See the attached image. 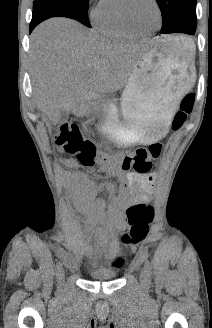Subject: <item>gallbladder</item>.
<instances>
[{
	"label": "gallbladder",
	"mask_w": 212,
	"mask_h": 328,
	"mask_svg": "<svg viewBox=\"0 0 212 328\" xmlns=\"http://www.w3.org/2000/svg\"><path fill=\"white\" fill-rule=\"evenodd\" d=\"M69 118V111H60L59 123H64Z\"/></svg>",
	"instance_id": "gallbladder-1"
}]
</instances>
